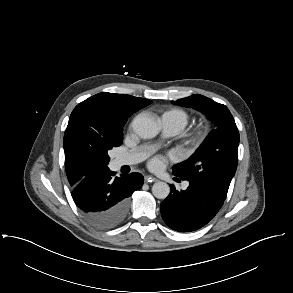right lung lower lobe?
<instances>
[{"mask_svg": "<svg viewBox=\"0 0 293 293\" xmlns=\"http://www.w3.org/2000/svg\"><path fill=\"white\" fill-rule=\"evenodd\" d=\"M114 174L109 168L97 170L86 174L74 185L72 198L86 220L102 216H122L125 219L129 197L141 188L144 179L140 173L121 177Z\"/></svg>", "mask_w": 293, "mask_h": 293, "instance_id": "1", "label": "right lung lower lobe"}]
</instances>
